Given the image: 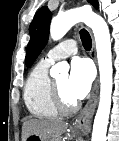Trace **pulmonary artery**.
Returning <instances> with one entry per match:
<instances>
[{
  "instance_id": "e3ab8cb5",
  "label": "pulmonary artery",
  "mask_w": 119,
  "mask_h": 141,
  "mask_svg": "<svg viewBox=\"0 0 119 141\" xmlns=\"http://www.w3.org/2000/svg\"><path fill=\"white\" fill-rule=\"evenodd\" d=\"M77 42L74 39H66L52 48L43 58L44 61L54 63L57 60L67 58L77 52Z\"/></svg>"
}]
</instances>
